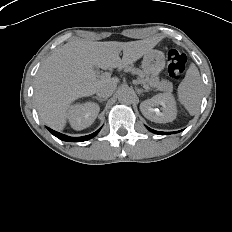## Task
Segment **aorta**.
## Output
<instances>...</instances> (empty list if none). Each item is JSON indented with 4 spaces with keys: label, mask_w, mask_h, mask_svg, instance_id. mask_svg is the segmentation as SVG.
Instances as JSON below:
<instances>
[{
    "label": "aorta",
    "mask_w": 232,
    "mask_h": 232,
    "mask_svg": "<svg viewBox=\"0 0 232 232\" xmlns=\"http://www.w3.org/2000/svg\"><path fill=\"white\" fill-rule=\"evenodd\" d=\"M134 92L129 88H123L118 93V100L124 104H131L134 100Z\"/></svg>",
    "instance_id": "aorta-1"
}]
</instances>
